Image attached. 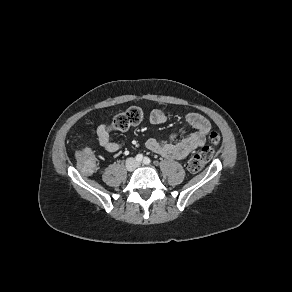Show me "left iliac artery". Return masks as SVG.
Wrapping results in <instances>:
<instances>
[{"instance_id": "1", "label": "left iliac artery", "mask_w": 292, "mask_h": 292, "mask_svg": "<svg viewBox=\"0 0 292 292\" xmlns=\"http://www.w3.org/2000/svg\"><path fill=\"white\" fill-rule=\"evenodd\" d=\"M143 163L146 164V165L150 164L151 163L150 158L149 157H144Z\"/></svg>"}]
</instances>
